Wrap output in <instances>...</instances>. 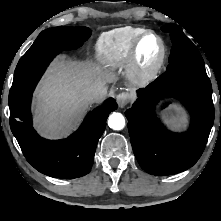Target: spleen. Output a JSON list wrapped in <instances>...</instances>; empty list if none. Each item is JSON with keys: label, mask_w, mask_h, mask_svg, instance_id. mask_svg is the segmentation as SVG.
Instances as JSON below:
<instances>
[{"label": "spleen", "mask_w": 221, "mask_h": 221, "mask_svg": "<svg viewBox=\"0 0 221 221\" xmlns=\"http://www.w3.org/2000/svg\"><path fill=\"white\" fill-rule=\"evenodd\" d=\"M175 113H171L169 117H166L165 120L169 123L173 128H179L181 124L185 121V113L179 109L174 107Z\"/></svg>", "instance_id": "1"}]
</instances>
